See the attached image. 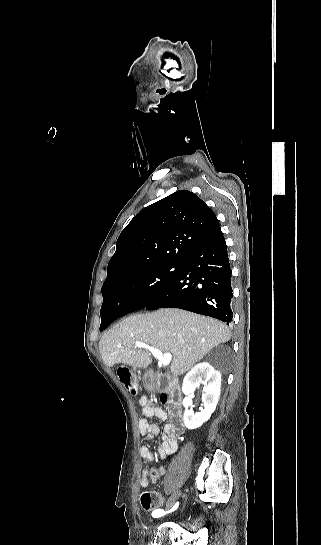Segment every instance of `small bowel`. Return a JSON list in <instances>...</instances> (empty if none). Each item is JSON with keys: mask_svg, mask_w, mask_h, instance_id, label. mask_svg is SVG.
<instances>
[{"mask_svg": "<svg viewBox=\"0 0 321 545\" xmlns=\"http://www.w3.org/2000/svg\"><path fill=\"white\" fill-rule=\"evenodd\" d=\"M139 403L143 414V418L138 423L139 432L147 441L152 440L160 432V428L155 424H150L147 418L156 417L162 421H166L169 417L174 420L178 417L177 411L174 409L170 408L169 412L166 413L162 408L155 406L152 400L146 396H142ZM181 433L182 426L176 421H171L164 425L163 436L157 450L160 458H166L178 450V438ZM140 454L146 462L152 463L154 461V454L146 444L141 446ZM163 472V468L160 467L144 469L139 478V485L147 487L150 483H156L162 477Z\"/></svg>", "mask_w": 321, "mask_h": 545, "instance_id": "small-bowel-1", "label": "small bowel"}]
</instances>
